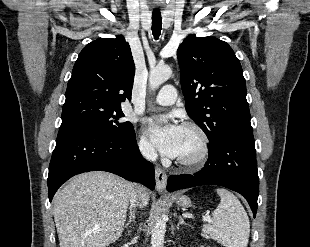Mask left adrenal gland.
Returning a JSON list of instances; mask_svg holds the SVG:
<instances>
[{
    "label": "left adrenal gland",
    "mask_w": 310,
    "mask_h": 247,
    "mask_svg": "<svg viewBox=\"0 0 310 247\" xmlns=\"http://www.w3.org/2000/svg\"><path fill=\"white\" fill-rule=\"evenodd\" d=\"M181 224H186V223L184 222V219L181 216H179V223L177 224V228H179Z\"/></svg>",
    "instance_id": "a2214340"
}]
</instances>
